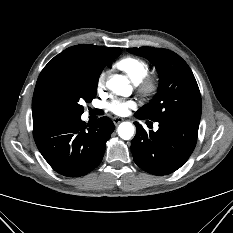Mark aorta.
Segmentation results:
<instances>
[{
    "label": "aorta",
    "mask_w": 233,
    "mask_h": 233,
    "mask_svg": "<svg viewBox=\"0 0 233 233\" xmlns=\"http://www.w3.org/2000/svg\"><path fill=\"white\" fill-rule=\"evenodd\" d=\"M107 87L117 95L128 96L131 92V87L125 77L121 75L113 76L108 82ZM134 134V126L130 122H122L118 126V135L129 140Z\"/></svg>",
    "instance_id": "1"
}]
</instances>
